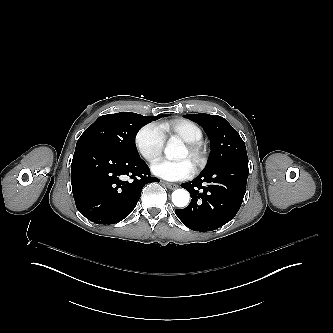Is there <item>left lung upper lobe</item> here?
Segmentation results:
<instances>
[{
  "label": "left lung upper lobe",
  "mask_w": 333,
  "mask_h": 333,
  "mask_svg": "<svg viewBox=\"0 0 333 333\" xmlns=\"http://www.w3.org/2000/svg\"><path fill=\"white\" fill-rule=\"evenodd\" d=\"M185 117L199 124L211 141L210 161L202 173L213 171L229 161L248 160L244 141L226 119L205 113L187 114Z\"/></svg>",
  "instance_id": "1"
}]
</instances>
